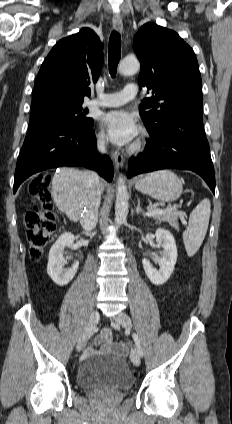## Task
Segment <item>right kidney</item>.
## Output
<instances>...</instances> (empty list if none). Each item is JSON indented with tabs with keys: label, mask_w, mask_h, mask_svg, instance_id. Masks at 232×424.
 I'll use <instances>...</instances> for the list:
<instances>
[{
	"label": "right kidney",
	"mask_w": 232,
	"mask_h": 424,
	"mask_svg": "<svg viewBox=\"0 0 232 424\" xmlns=\"http://www.w3.org/2000/svg\"><path fill=\"white\" fill-rule=\"evenodd\" d=\"M75 237L71 233H63L50 249L47 273L53 282L59 286L67 285L75 276L79 262L75 261L70 268H63L65 264L64 249L72 246Z\"/></svg>",
	"instance_id": "ca27d5eb"
}]
</instances>
